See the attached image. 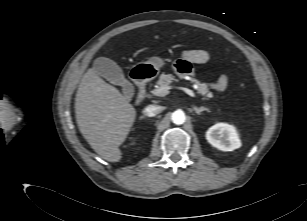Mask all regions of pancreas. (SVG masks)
I'll list each match as a JSON object with an SVG mask.
<instances>
[{
	"label": "pancreas",
	"mask_w": 307,
	"mask_h": 221,
	"mask_svg": "<svg viewBox=\"0 0 307 221\" xmlns=\"http://www.w3.org/2000/svg\"><path fill=\"white\" fill-rule=\"evenodd\" d=\"M177 81V78L172 74H161L159 80L157 81V88H166L169 87L171 83ZM192 82L197 85V91L199 94L205 96V99L212 98V92L209 91L206 83H202L197 79H192ZM157 90V89H155Z\"/></svg>",
	"instance_id": "obj_1"
}]
</instances>
